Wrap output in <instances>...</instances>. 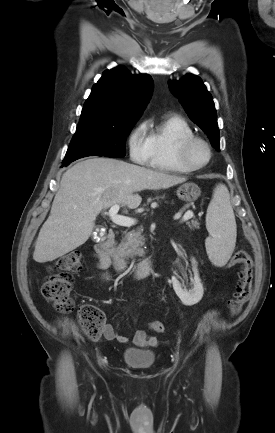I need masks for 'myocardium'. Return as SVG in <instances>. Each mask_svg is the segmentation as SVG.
I'll return each mask as SVG.
<instances>
[{
  "label": "myocardium",
  "mask_w": 275,
  "mask_h": 433,
  "mask_svg": "<svg viewBox=\"0 0 275 433\" xmlns=\"http://www.w3.org/2000/svg\"><path fill=\"white\" fill-rule=\"evenodd\" d=\"M196 144L203 145L207 150L208 158L203 163H196L191 157L192 148ZM212 156H213V152H212L211 145L206 139L200 136L193 135L187 137L183 139L178 146V160L180 164L183 167L190 169L192 171L199 170L206 167L211 162Z\"/></svg>",
  "instance_id": "f54148a6"
}]
</instances>
